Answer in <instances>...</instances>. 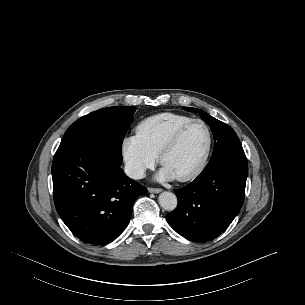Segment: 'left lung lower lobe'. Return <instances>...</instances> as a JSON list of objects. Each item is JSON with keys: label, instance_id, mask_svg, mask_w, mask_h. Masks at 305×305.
<instances>
[{"label": "left lung lower lobe", "instance_id": "left-lung-lower-lobe-1", "mask_svg": "<svg viewBox=\"0 0 305 305\" xmlns=\"http://www.w3.org/2000/svg\"><path fill=\"white\" fill-rule=\"evenodd\" d=\"M248 175L244 151L208 163L186 187L176 189L178 205L166 219L180 235L195 242L219 236L242 207Z\"/></svg>", "mask_w": 305, "mask_h": 305}]
</instances>
